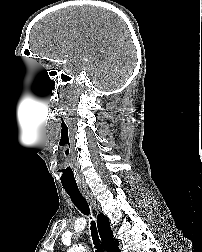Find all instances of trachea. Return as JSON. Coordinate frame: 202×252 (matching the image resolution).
<instances>
[{"instance_id": "obj_1", "label": "trachea", "mask_w": 202, "mask_h": 252, "mask_svg": "<svg viewBox=\"0 0 202 252\" xmlns=\"http://www.w3.org/2000/svg\"><path fill=\"white\" fill-rule=\"evenodd\" d=\"M67 194L70 196L74 205L85 215L90 214L89 205L86 199L80 193L78 187H64ZM91 236L93 239V243L95 244L96 252H103L101 246L99 244V236L97 233L95 222H91Z\"/></svg>"}]
</instances>
